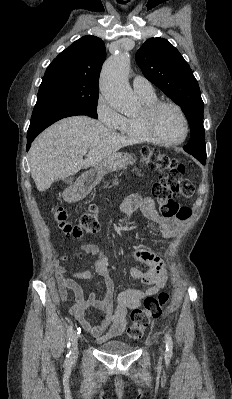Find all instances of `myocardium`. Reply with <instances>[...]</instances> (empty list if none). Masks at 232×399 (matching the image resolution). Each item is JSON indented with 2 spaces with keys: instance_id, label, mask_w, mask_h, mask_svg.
<instances>
[{
  "instance_id": "f54148a6",
  "label": "myocardium",
  "mask_w": 232,
  "mask_h": 399,
  "mask_svg": "<svg viewBox=\"0 0 232 399\" xmlns=\"http://www.w3.org/2000/svg\"><path fill=\"white\" fill-rule=\"evenodd\" d=\"M164 106H170L172 108H174L180 115L183 123H184V127H185V133L184 136L180 139V140H166L161 138L154 130L153 128V120L155 115L157 114V112ZM140 126L142 128V130L144 131V133L154 142L158 143V144H162V145H179L182 144L188 137L189 135V122L187 120V117L184 113V111L182 110V108L172 102H167V101H158L156 103L147 105L144 107V110L142 112V114L138 117Z\"/></svg>"
}]
</instances>
